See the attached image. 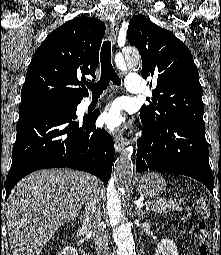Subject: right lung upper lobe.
Here are the masks:
<instances>
[{
    "label": "right lung upper lobe",
    "instance_id": "1",
    "mask_svg": "<svg viewBox=\"0 0 221 255\" xmlns=\"http://www.w3.org/2000/svg\"><path fill=\"white\" fill-rule=\"evenodd\" d=\"M105 29L99 19L81 16L51 32L32 57L19 110L81 102L88 95L85 76L95 77Z\"/></svg>",
    "mask_w": 221,
    "mask_h": 255
}]
</instances>
